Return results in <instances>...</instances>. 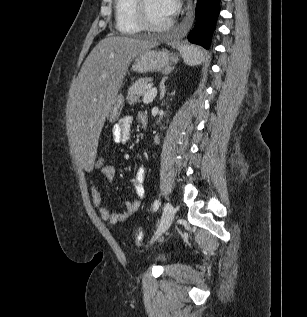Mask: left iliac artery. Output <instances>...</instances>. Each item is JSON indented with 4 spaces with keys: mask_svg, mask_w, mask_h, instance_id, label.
Segmentation results:
<instances>
[{
    "mask_svg": "<svg viewBox=\"0 0 307 317\" xmlns=\"http://www.w3.org/2000/svg\"><path fill=\"white\" fill-rule=\"evenodd\" d=\"M159 206H160L159 199H156L155 202H154V204H153V210H154V211H157L158 208H159Z\"/></svg>",
    "mask_w": 307,
    "mask_h": 317,
    "instance_id": "obj_1",
    "label": "left iliac artery"
}]
</instances>
